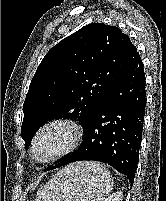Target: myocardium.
<instances>
[{
    "mask_svg": "<svg viewBox=\"0 0 166 201\" xmlns=\"http://www.w3.org/2000/svg\"><path fill=\"white\" fill-rule=\"evenodd\" d=\"M53 127H63L68 131L69 133L68 143L63 149L50 155H47L45 157L39 158L36 154L38 142L42 137V135ZM80 139H81V130L77 123L67 119L50 120L44 123L42 126H40L38 130L35 132L29 149L30 158L33 162L38 164H47L54 162L58 159L63 158L64 156L70 154L73 150H75V148L78 146L80 142Z\"/></svg>",
    "mask_w": 166,
    "mask_h": 201,
    "instance_id": "f54148a6",
    "label": "myocardium"
}]
</instances>
